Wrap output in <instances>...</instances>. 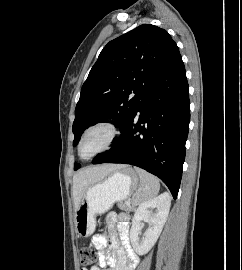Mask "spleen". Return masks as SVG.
Wrapping results in <instances>:
<instances>
[{"mask_svg": "<svg viewBox=\"0 0 242 270\" xmlns=\"http://www.w3.org/2000/svg\"><path fill=\"white\" fill-rule=\"evenodd\" d=\"M140 178V185L132 197L135 204H142L156 197L160 189L159 180L140 168H135Z\"/></svg>", "mask_w": 242, "mask_h": 270, "instance_id": "3e777b00", "label": "spleen"}]
</instances>
